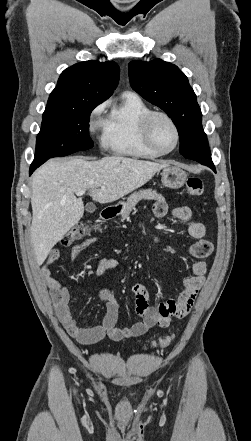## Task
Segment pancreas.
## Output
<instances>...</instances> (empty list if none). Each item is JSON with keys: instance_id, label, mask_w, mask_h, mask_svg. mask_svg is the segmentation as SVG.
<instances>
[{"instance_id": "pancreas-1", "label": "pancreas", "mask_w": 251, "mask_h": 441, "mask_svg": "<svg viewBox=\"0 0 251 441\" xmlns=\"http://www.w3.org/2000/svg\"><path fill=\"white\" fill-rule=\"evenodd\" d=\"M142 199H145V200H164V197L152 189H145V190H139L137 192H134L127 198V202H126L125 207L121 213L122 218L123 219L128 218L131 211L135 208L136 204Z\"/></svg>"}]
</instances>
